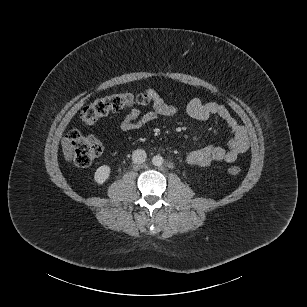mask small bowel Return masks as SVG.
Returning a JSON list of instances; mask_svg holds the SVG:
<instances>
[{
  "instance_id": "small-bowel-1",
  "label": "small bowel",
  "mask_w": 307,
  "mask_h": 307,
  "mask_svg": "<svg viewBox=\"0 0 307 307\" xmlns=\"http://www.w3.org/2000/svg\"><path fill=\"white\" fill-rule=\"evenodd\" d=\"M147 94L153 102L152 110L142 113L140 109L132 108L119 123L121 131L139 130L161 116H173L178 112L176 106L166 103L154 89L149 88ZM186 111L191 118L198 121H207L212 117H217L232 133L228 148L208 145L190 151L187 161L191 165L205 167L218 162L232 163L248 151L249 138L244 126L230 114L225 106L193 98L188 102Z\"/></svg>"
}]
</instances>
